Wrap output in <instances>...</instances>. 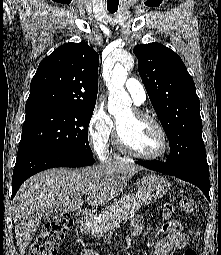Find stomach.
Wrapping results in <instances>:
<instances>
[{
	"instance_id": "stomach-1",
	"label": "stomach",
	"mask_w": 221,
	"mask_h": 255,
	"mask_svg": "<svg viewBox=\"0 0 221 255\" xmlns=\"http://www.w3.org/2000/svg\"><path fill=\"white\" fill-rule=\"evenodd\" d=\"M169 189L170 182L155 174L144 176L137 184L138 194L144 203L161 198Z\"/></svg>"
}]
</instances>
